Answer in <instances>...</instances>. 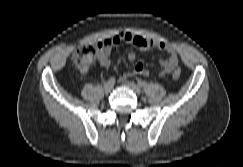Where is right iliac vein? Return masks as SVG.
<instances>
[{
    "label": "right iliac vein",
    "instance_id": "63e3f726",
    "mask_svg": "<svg viewBox=\"0 0 243 167\" xmlns=\"http://www.w3.org/2000/svg\"><path fill=\"white\" fill-rule=\"evenodd\" d=\"M103 89L106 93H109L113 89V85L109 84V83H105L104 86H103Z\"/></svg>",
    "mask_w": 243,
    "mask_h": 167
}]
</instances>
